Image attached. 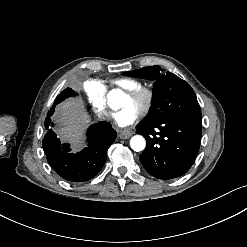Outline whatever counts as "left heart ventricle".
Wrapping results in <instances>:
<instances>
[{
	"mask_svg": "<svg viewBox=\"0 0 247 247\" xmlns=\"http://www.w3.org/2000/svg\"><path fill=\"white\" fill-rule=\"evenodd\" d=\"M132 100L130 99V98H128V100L126 101V105H131L132 104ZM140 107H141V104H142V102L140 101V102H136Z\"/></svg>",
	"mask_w": 247,
	"mask_h": 247,
	"instance_id": "left-heart-ventricle-1",
	"label": "left heart ventricle"
}]
</instances>
